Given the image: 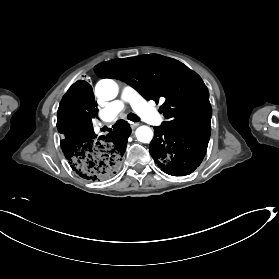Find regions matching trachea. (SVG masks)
I'll return each mask as SVG.
<instances>
[{"label": "trachea", "instance_id": "3493384b", "mask_svg": "<svg viewBox=\"0 0 279 279\" xmlns=\"http://www.w3.org/2000/svg\"><path fill=\"white\" fill-rule=\"evenodd\" d=\"M127 118H128L129 120L133 121V122L139 121V117H138L136 114H134V113H129V114L127 115Z\"/></svg>", "mask_w": 279, "mask_h": 279}]
</instances>
